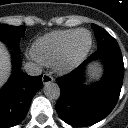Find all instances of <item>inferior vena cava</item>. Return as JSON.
I'll return each instance as SVG.
<instances>
[{
    "instance_id": "1",
    "label": "inferior vena cava",
    "mask_w": 128,
    "mask_h": 128,
    "mask_svg": "<svg viewBox=\"0 0 128 128\" xmlns=\"http://www.w3.org/2000/svg\"><path fill=\"white\" fill-rule=\"evenodd\" d=\"M24 70L30 76H39L42 73V68L33 62L25 63Z\"/></svg>"
}]
</instances>
